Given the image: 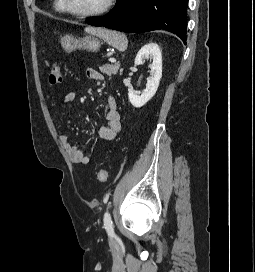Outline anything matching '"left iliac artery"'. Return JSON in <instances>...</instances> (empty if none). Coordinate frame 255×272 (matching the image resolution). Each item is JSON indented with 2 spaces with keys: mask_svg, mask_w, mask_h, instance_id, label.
<instances>
[{
  "mask_svg": "<svg viewBox=\"0 0 255 272\" xmlns=\"http://www.w3.org/2000/svg\"><path fill=\"white\" fill-rule=\"evenodd\" d=\"M110 195H106L104 198V202L107 203L109 201ZM104 227L109 235L114 234L113 222L110 216V213L107 211L104 214Z\"/></svg>",
  "mask_w": 255,
  "mask_h": 272,
  "instance_id": "left-iliac-artery-1",
  "label": "left iliac artery"
}]
</instances>
